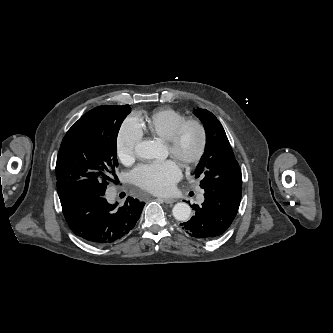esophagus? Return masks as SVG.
Returning <instances> with one entry per match:
<instances>
[{"label":"esophagus","instance_id":"obj_1","mask_svg":"<svg viewBox=\"0 0 333 333\" xmlns=\"http://www.w3.org/2000/svg\"><path fill=\"white\" fill-rule=\"evenodd\" d=\"M163 201H164L166 204H173L174 202H176V200L173 199V198H163Z\"/></svg>","mask_w":333,"mask_h":333}]
</instances>
